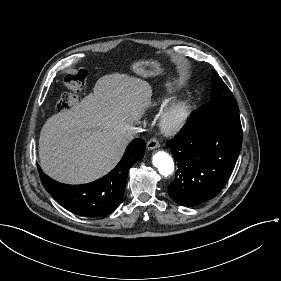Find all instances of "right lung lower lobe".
I'll use <instances>...</instances> for the list:
<instances>
[{"label": "right lung lower lobe", "mask_w": 281, "mask_h": 281, "mask_svg": "<svg viewBox=\"0 0 281 281\" xmlns=\"http://www.w3.org/2000/svg\"><path fill=\"white\" fill-rule=\"evenodd\" d=\"M145 152L142 139L127 147L118 165L104 178L90 185L66 187L48 179L39 169L41 181L49 194L71 212L85 217H100L113 212L121 203L129 169Z\"/></svg>", "instance_id": "obj_1"}]
</instances>
